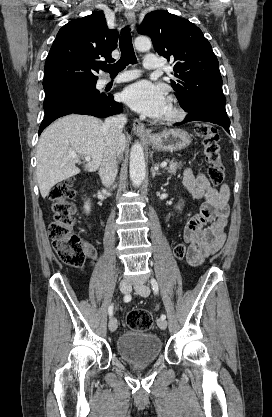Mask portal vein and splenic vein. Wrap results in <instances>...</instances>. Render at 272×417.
<instances>
[{
    "label": "portal vein and splenic vein",
    "mask_w": 272,
    "mask_h": 417,
    "mask_svg": "<svg viewBox=\"0 0 272 417\" xmlns=\"http://www.w3.org/2000/svg\"><path fill=\"white\" fill-rule=\"evenodd\" d=\"M69 155H70V157H72V158H77V155H76L74 152H72V151H70V152H69ZM85 160H86V161H90V157L85 156ZM166 166H167V162H162V163L160 164V167H161V168H165Z\"/></svg>",
    "instance_id": "obj_1"
}]
</instances>
